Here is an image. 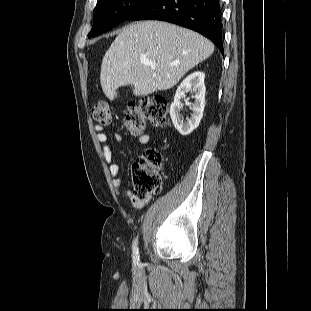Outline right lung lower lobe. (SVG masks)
<instances>
[{
  "mask_svg": "<svg viewBox=\"0 0 311 311\" xmlns=\"http://www.w3.org/2000/svg\"><path fill=\"white\" fill-rule=\"evenodd\" d=\"M219 0H154L128 20H162L190 28L209 38L223 51Z\"/></svg>",
  "mask_w": 311,
  "mask_h": 311,
  "instance_id": "right-lung-lower-lobe-1",
  "label": "right lung lower lobe"
}]
</instances>
